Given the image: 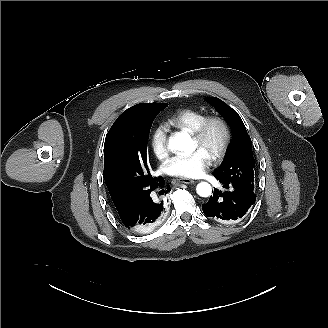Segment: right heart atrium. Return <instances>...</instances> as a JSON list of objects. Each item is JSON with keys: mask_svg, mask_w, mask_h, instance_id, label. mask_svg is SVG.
Segmentation results:
<instances>
[{"mask_svg": "<svg viewBox=\"0 0 328 328\" xmlns=\"http://www.w3.org/2000/svg\"><path fill=\"white\" fill-rule=\"evenodd\" d=\"M167 134L168 128L163 122H156L150 130L149 149L159 159H165L170 153Z\"/></svg>", "mask_w": 328, "mask_h": 328, "instance_id": "right-heart-atrium-1", "label": "right heart atrium"}]
</instances>
